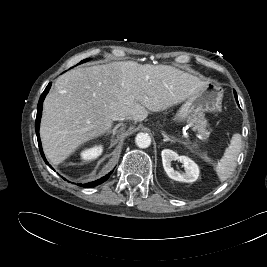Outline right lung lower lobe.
I'll list each match as a JSON object with an SVG mask.
<instances>
[{
	"label": "right lung lower lobe",
	"instance_id": "1",
	"mask_svg": "<svg viewBox=\"0 0 267 267\" xmlns=\"http://www.w3.org/2000/svg\"><path fill=\"white\" fill-rule=\"evenodd\" d=\"M50 87H51V83L48 84V86L46 87V89L44 90V92L42 93V95H41V97L39 99V103H38V106H37V118H36V134H37L38 144H39V148H40V153H41V155H42V157H43V159H44V161L46 162L47 165H49V164L45 159V156H44V153H43V150H42V146H41L40 137H39V126H40V119H41V115H42V103H43L44 98L47 95ZM49 167L51 169H53L50 165H49ZM111 174H112V172H110L108 175H106V176H104V177H102V178H100V179H98V180H96L94 182H90V183L83 184V185L80 184V186H83V187H94V186H97V185L103 183L104 181H106Z\"/></svg>",
	"mask_w": 267,
	"mask_h": 267
}]
</instances>
